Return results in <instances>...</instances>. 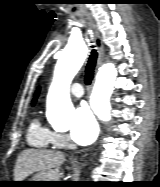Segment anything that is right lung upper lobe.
<instances>
[{
  "mask_svg": "<svg viewBox=\"0 0 160 187\" xmlns=\"http://www.w3.org/2000/svg\"><path fill=\"white\" fill-rule=\"evenodd\" d=\"M38 94H39V88L37 89V91H36V93H35V96H34V99H33V101H32V104H35L36 99H37V97H38Z\"/></svg>",
  "mask_w": 160,
  "mask_h": 187,
  "instance_id": "obj_1",
  "label": "right lung upper lobe"
}]
</instances>
